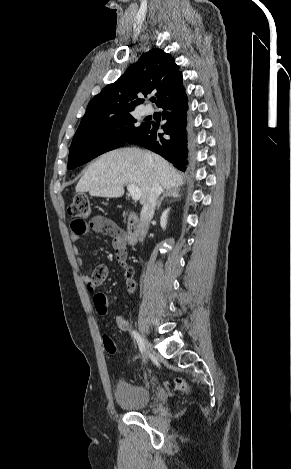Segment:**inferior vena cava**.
<instances>
[{"label": "inferior vena cava", "mask_w": 291, "mask_h": 469, "mask_svg": "<svg viewBox=\"0 0 291 469\" xmlns=\"http://www.w3.org/2000/svg\"><path fill=\"white\" fill-rule=\"evenodd\" d=\"M146 159L151 161L149 154L145 155ZM162 189L157 180H155L151 186L149 197L147 202L143 205L141 214H140V241L143 242V239L146 237L148 232V222L153 217L157 199L161 193Z\"/></svg>", "instance_id": "602c4592"}]
</instances>
